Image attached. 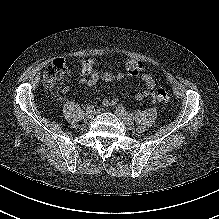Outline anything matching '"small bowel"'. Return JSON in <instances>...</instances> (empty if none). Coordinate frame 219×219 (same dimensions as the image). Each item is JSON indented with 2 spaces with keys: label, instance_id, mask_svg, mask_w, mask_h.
Masks as SVG:
<instances>
[{
  "label": "small bowel",
  "instance_id": "c3829d8e",
  "mask_svg": "<svg viewBox=\"0 0 219 219\" xmlns=\"http://www.w3.org/2000/svg\"><path fill=\"white\" fill-rule=\"evenodd\" d=\"M127 74L128 76L141 80L145 85V90L141 93H137L135 98L137 100H142L143 98L149 96L153 89L155 88L154 78L147 74L141 73L143 65L140 62L131 60L127 63ZM125 78V74L120 72L117 74L111 73H98L94 70V63L92 60H85L81 64V70L79 73V83L86 86H94L100 81L111 82L119 81ZM69 87L65 86L61 90L62 95H66L69 92ZM114 102L109 100H104L105 106H112Z\"/></svg>",
  "mask_w": 219,
  "mask_h": 219
}]
</instances>
